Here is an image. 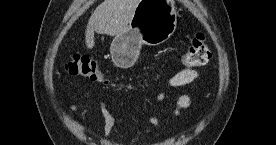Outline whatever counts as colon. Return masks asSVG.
Wrapping results in <instances>:
<instances>
[{"label":"colon","mask_w":276,"mask_h":145,"mask_svg":"<svg viewBox=\"0 0 276 145\" xmlns=\"http://www.w3.org/2000/svg\"><path fill=\"white\" fill-rule=\"evenodd\" d=\"M210 57L211 50L204 35L197 34L183 55V64L190 69L202 67L209 61ZM66 71L71 76L85 78L104 85L110 84V80L97 61L88 56L74 55L67 61Z\"/></svg>","instance_id":"colon-1"}]
</instances>
